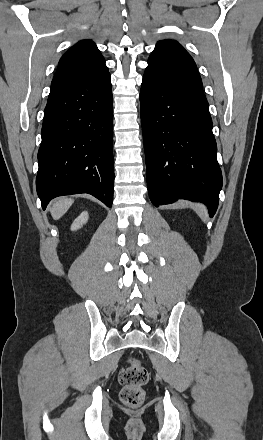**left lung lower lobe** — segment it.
Here are the masks:
<instances>
[{
    "mask_svg": "<svg viewBox=\"0 0 263 440\" xmlns=\"http://www.w3.org/2000/svg\"><path fill=\"white\" fill-rule=\"evenodd\" d=\"M147 185L153 205L179 198L216 212L222 173L209 105L196 64L169 43L148 60L140 91Z\"/></svg>",
    "mask_w": 263,
    "mask_h": 440,
    "instance_id": "obj_1",
    "label": "left lung lower lobe"
}]
</instances>
